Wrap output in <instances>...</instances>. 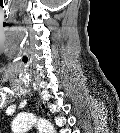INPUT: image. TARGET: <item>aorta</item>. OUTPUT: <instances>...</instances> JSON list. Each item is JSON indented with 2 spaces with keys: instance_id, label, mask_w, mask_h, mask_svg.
Segmentation results:
<instances>
[{
  "instance_id": "1",
  "label": "aorta",
  "mask_w": 120,
  "mask_h": 133,
  "mask_svg": "<svg viewBox=\"0 0 120 133\" xmlns=\"http://www.w3.org/2000/svg\"><path fill=\"white\" fill-rule=\"evenodd\" d=\"M36 123L42 131H48L51 133L53 132V127L48 121L37 118L34 115L18 116L14 120L12 128L14 131L23 132L28 130L32 125Z\"/></svg>"
}]
</instances>
